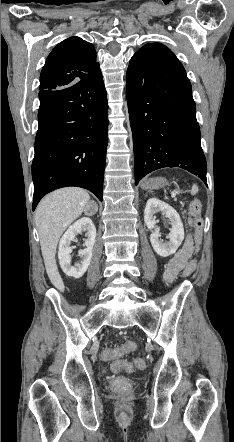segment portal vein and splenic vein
<instances>
[{
    "mask_svg": "<svg viewBox=\"0 0 234 442\" xmlns=\"http://www.w3.org/2000/svg\"><path fill=\"white\" fill-rule=\"evenodd\" d=\"M177 194H178L177 191H173V192H171V197H172V198H175Z\"/></svg>",
    "mask_w": 234,
    "mask_h": 442,
    "instance_id": "1",
    "label": "portal vein and splenic vein"
}]
</instances>
